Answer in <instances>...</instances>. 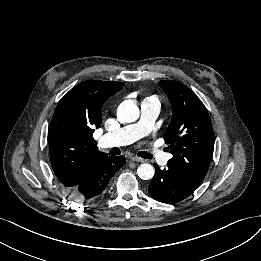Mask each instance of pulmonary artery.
<instances>
[{"mask_svg": "<svg viewBox=\"0 0 261 261\" xmlns=\"http://www.w3.org/2000/svg\"><path fill=\"white\" fill-rule=\"evenodd\" d=\"M159 113L158 103L155 99L149 98L141 104V119L133 125L126 126L114 132H109L100 138L103 147L124 146L146 136L152 128ZM152 158L160 166H165L171 158V154L163 152L157 146L151 149Z\"/></svg>", "mask_w": 261, "mask_h": 261, "instance_id": "1", "label": "pulmonary artery"}]
</instances>
